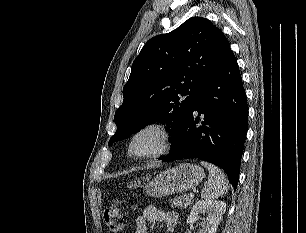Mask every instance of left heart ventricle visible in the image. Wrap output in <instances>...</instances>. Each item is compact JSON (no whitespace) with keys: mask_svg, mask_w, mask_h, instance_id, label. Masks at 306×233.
Returning a JSON list of instances; mask_svg holds the SVG:
<instances>
[{"mask_svg":"<svg viewBox=\"0 0 306 233\" xmlns=\"http://www.w3.org/2000/svg\"><path fill=\"white\" fill-rule=\"evenodd\" d=\"M159 144L160 136L156 131H145L135 138L131 150L135 155H146L155 151Z\"/></svg>","mask_w":306,"mask_h":233,"instance_id":"obj_1","label":"left heart ventricle"}]
</instances>
